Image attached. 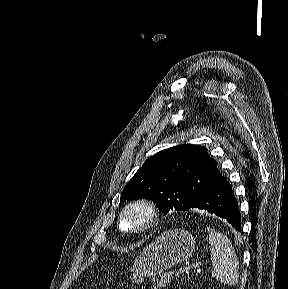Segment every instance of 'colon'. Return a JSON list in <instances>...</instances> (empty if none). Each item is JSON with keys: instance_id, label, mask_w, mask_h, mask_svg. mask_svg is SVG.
<instances>
[{"instance_id": "1", "label": "colon", "mask_w": 288, "mask_h": 289, "mask_svg": "<svg viewBox=\"0 0 288 289\" xmlns=\"http://www.w3.org/2000/svg\"><path fill=\"white\" fill-rule=\"evenodd\" d=\"M135 281L139 283L141 281V276L140 275H136L135 276Z\"/></svg>"}]
</instances>
